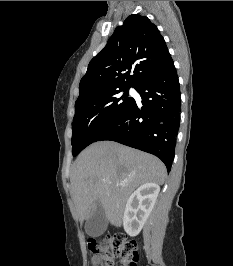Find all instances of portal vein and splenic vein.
Segmentation results:
<instances>
[{
    "label": "portal vein and splenic vein",
    "instance_id": "obj_1",
    "mask_svg": "<svg viewBox=\"0 0 233 266\" xmlns=\"http://www.w3.org/2000/svg\"><path fill=\"white\" fill-rule=\"evenodd\" d=\"M103 181H104V182H109L108 179H104ZM118 185H125V183H121V182H120V183H118Z\"/></svg>",
    "mask_w": 233,
    "mask_h": 266
}]
</instances>
